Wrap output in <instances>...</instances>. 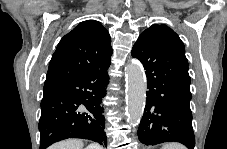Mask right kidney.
<instances>
[{"label":"right kidney","mask_w":227,"mask_h":149,"mask_svg":"<svg viewBox=\"0 0 227 149\" xmlns=\"http://www.w3.org/2000/svg\"><path fill=\"white\" fill-rule=\"evenodd\" d=\"M86 149H97V145L96 144H91L88 147H86Z\"/></svg>","instance_id":"right-kidney-1"}]
</instances>
